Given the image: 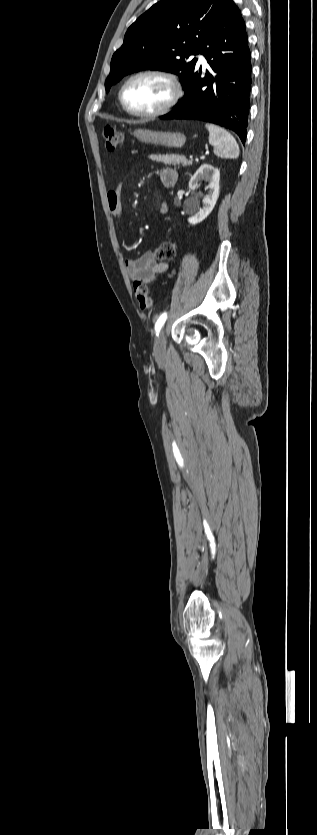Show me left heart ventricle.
Instances as JSON below:
<instances>
[{"instance_id": "1", "label": "left heart ventricle", "mask_w": 317, "mask_h": 835, "mask_svg": "<svg viewBox=\"0 0 317 835\" xmlns=\"http://www.w3.org/2000/svg\"><path fill=\"white\" fill-rule=\"evenodd\" d=\"M170 95L168 83L156 76H143L133 80L123 94L127 106L138 112H150L160 108Z\"/></svg>"}]
</instances>
